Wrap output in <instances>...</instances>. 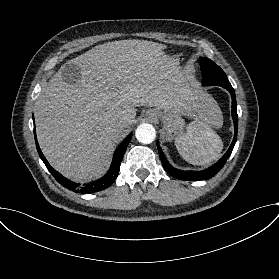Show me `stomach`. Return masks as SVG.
Listing matches in <instances>:
<instances>
[{"label":"stomach","mask_w":279,"mask_h":279,"mask_svg":"<svg viewBox=\"0 0 279 279\" xmlns=\"http://www.w3.org/2000/svg\"><path fill=\"white\" fill-rule=\"evenodd\" d=\"M148 111H156L160 117L159 121L161 119L164 121L165 128L161 130L163 139L170 140L174 134L182 130V117L184 116L182 111H178V109H174L172 112L167 109H149Z\"/></svg>","instance_id":"1"}]
</instances>
